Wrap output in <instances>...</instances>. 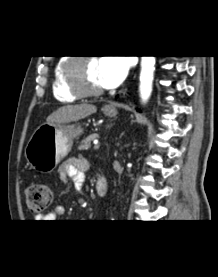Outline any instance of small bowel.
Masks as SVG:
<instances>
[{"mask_svg": "<svg viewBox=\"0 0 218 277\" xmlns=\"http://www.w3.org/2000/svg\"><path fill=\"white\" fill-rule=\"evenodd\" d=\"M90 167L88 160L83 158L69 159L62 163L59 167L58 174L62 181L71 179L77 190L82 191L86 183V172ZM65 209L58 205L49 213L38 217L42 222H53L59 217L63 216Z\"/></svg>", "mask_w": 218, "mask_h": 277, "instance_id": "c3829d8e", "label": "small bowel"}]
</instances>
